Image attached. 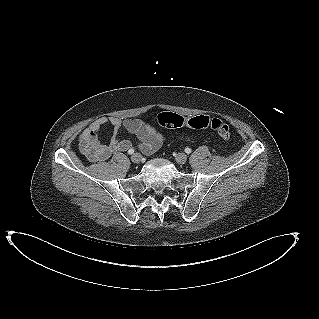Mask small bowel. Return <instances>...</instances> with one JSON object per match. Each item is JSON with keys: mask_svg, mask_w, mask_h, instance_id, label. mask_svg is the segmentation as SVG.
Segmentation results:
<instances>
[{"mask_svg": "<svg viewBox=\"0 0 319 319\" xmlns=\"http://www.w3.org/2000/svg\"><path fill=\"white\" fill-rule=\"evenodd\" d=\"M110 125L113 129L112 137L107 144L99 141L100 130ZM133 134L138 139V148L145 155L157 151L165 141V136L149 123L137 119H120L118 117H99L94 120L80 135L81 152L91 162H104L113 154L129 151L133 143L129 139H119L120 131Z\"/></svg>", "mask_w": 319, "mask_h": 319, "instance_id": "c3829d8e", "label": "small bowel"}]
</instances>
